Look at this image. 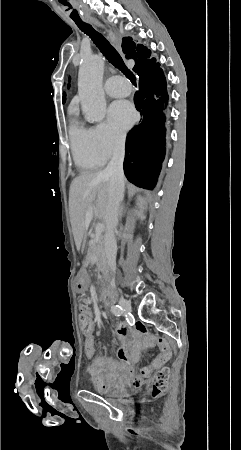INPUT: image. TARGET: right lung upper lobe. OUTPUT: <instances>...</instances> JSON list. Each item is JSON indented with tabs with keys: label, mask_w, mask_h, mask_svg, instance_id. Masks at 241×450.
<instances>
[{
	"label": "right lung upper lobe",
	"mask_w": 241,
	"mask_h": 450,
	"mask_svg": "<svg viewBox=\"0 0 241 450\" xmlns=\"http://www.w3.org/2000/svg\"><path fill=\"white\" fill-rule=\"evenodd\" d=\"M122 49L126 54V59H132L135 62L133 71L144 65L145 63L155 60V58L150 59L151 51L147 49L142 44H136L132 41L130 37H124L122 39Z\"/></svg>",
	"instance_id": "obj_1"
}]
</instances>
